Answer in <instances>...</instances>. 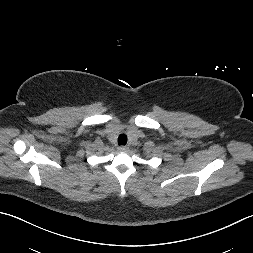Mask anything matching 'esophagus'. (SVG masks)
<instances>
[{"label": "esophagus", "mask_w": 253, "mask_h": 253, "mask_svg": "<svg viewBox=\"0 0 253 253\" xmlns=\"http://www.w3.org/2000/svg\"><path fill=\"white\" fill-rule=\"evenodd\" d=\"M118 149H119V151H121V152H125V151L128 150V147L123 145V146H120Z\"/></svg>", "instance_id": "obj_1"}]
</instances>
